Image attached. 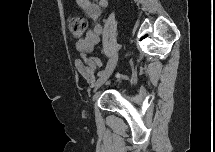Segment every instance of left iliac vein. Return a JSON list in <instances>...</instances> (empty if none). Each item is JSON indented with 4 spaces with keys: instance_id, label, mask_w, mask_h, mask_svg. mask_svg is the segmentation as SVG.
Returning <instances> with one entry per match:
<instances>
[{
    "instance_id": "obj_1",
    "label": "left iliac vein",
    "mask_w": 215,
    "mask_h": 152,
    "mask_svg": "<svg viewBox=\"0 0 215 152\" xmlns=\"http://www.w3.org/2000/svg\"><path fill=\"white\" fill-rule=\"evenodd\" d=\"M117 60H118V55L115 54L109 61L108 65L106 66V68L102 71L103 72V75L102 76H99L98 80L96 81V84H95V88H99L108 78L109 76L112 74L115 66H116V63H117Z\"/></svg>"
}]
</instances>
